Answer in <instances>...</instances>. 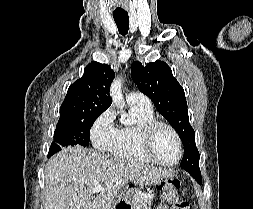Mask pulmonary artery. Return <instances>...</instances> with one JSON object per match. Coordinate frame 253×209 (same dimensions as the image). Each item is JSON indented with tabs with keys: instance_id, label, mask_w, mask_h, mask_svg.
<instances>
[{
	"instance_id": "1",
	"label": "pulmonary artery",
	"mask_w": 253,
	"mask_h": 209,
	"mask_svg": "<svg viewBox=\"0 0 253 209\" xmlns=\"http://www.w3.org/2000/svg\"><path fill=\"white\" fill-rule=\"evenodd\" d=\"M126 99L128 103H140V104L151 105V101L149 100V98L143 93L138 92V91L129 92L126 96Z\"/></svg>"
}]
</instances>
